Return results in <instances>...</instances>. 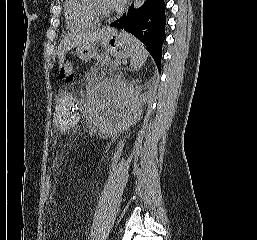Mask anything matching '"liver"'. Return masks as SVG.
Wrapping results in <instances>:
<instances>
[{
	"label": "liver",
	"instance_id": "6515ba94",
	"mask_svg": "<svg viewBox=\"0 0 257 240\" xmlns=\"http://www.w3.org/2000/svg\"><path fill=\"white\" fill-rule=\"evenodd\" d=\"M108 27L95 31H82L77 34H69L65 36L58 47V58L60 67L63 65L65 55L68 51L75 47L87 46L100 41L106 33Z\"/></svg>",
	"mask_w": 257,
	"mask_h": 240
}]
</instances>
